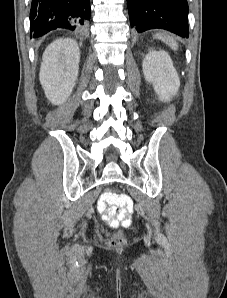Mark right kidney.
Listing matches in <instances>:
<instances>
[{"instance_id": "obj_1", "label": "right kidney", "mask_w": 227, "mask_h": 298, "mask_svg": "<svg viewBox=\"0 0 227 298\" xmlns=\"http://www.w3.org/2000/svg\"><path fill=\"white\" fill-rule=\"evenodd\" d=\"M40 83L47 99L63 103L72 93L79 71L80 50L75 40L61 38L52 42L43 53Z\"/></svg>"}]
</instances>
